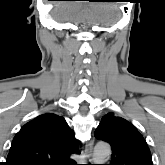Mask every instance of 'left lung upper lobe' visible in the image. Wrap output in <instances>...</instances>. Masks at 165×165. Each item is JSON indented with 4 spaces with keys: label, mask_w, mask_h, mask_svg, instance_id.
I'll list each match as a JSON object with an SVG mask.
<instances>
[{
    "label": "left lung upper lobe",
    "mask_w": 165,
    "mask_h": 165,
    "mask_svg": "<svg viewBox=\"0 0 165 165\" xmlns=\"http://www.w3.org/2000/svg\"><path fill=\"white\" fill-rule=\"evenodd\" d=\"M95 137L111 145L110 165H153L143 136L130 122L113 113L102 118Z\"/></svg>",
    "instance_id": "left-lung-upper-lobe-1"
}]
</instances>
